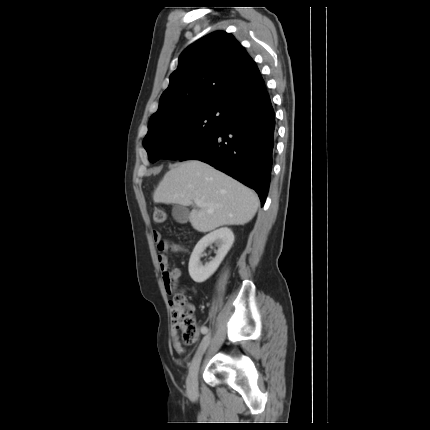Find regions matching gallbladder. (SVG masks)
Listing matches in <instances>:
<instances>
[{"label":"gallbladder","mask_w":430,"mask_h":430,"mask_svg":"<svg viewBox=\"0 0 430 430\" xmlns=\"http://www.w3.org/2000/svg\"><path fill=\"white\" fill-rule=\"evenodd\" d=\"M174 219L181 224L186 223L190 217V211L186 206L175 205L172 209Z\"/></svg>","instance_id":"1"}]
</instances>
